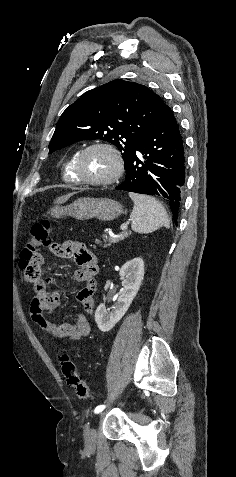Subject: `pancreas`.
Returning a JSON list of instances; mask_svg holds the SVG:
<instances>
[{"mask_svg":"<svg viewBox=\"0 0 236 477\" xmlns=\"http://www.w3.org/2000/svg\"><path fill=\"white\" fill-rule=\"evenodd\" d=\"M128 233H122V234H119V235H116V236H110V235H103V239H104V247H108L110 246L111 244H115V243H118L122 240H124L126 237H128ZM96 244H99L100 245V241H96Z\"/></svg>","mask_w":236,"mask_h":477,"instance_id":"pancreas-1","label":"pancreas"}]
</instances>
